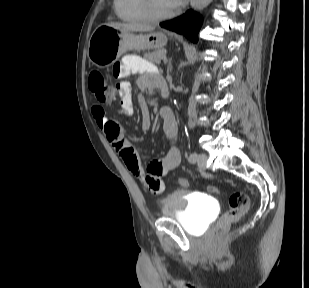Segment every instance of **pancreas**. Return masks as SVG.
Instances as JSON below:
<instances>
[{
	"label": "pancreas",
	"instance_id": "pancreas-1",
	"mask_svg": "<svg viewBox=\"0 0 309 288\" xmlns=\"http://www.w3.org/2000/svg\"><path fill=\"white\" fill-rule=\"evenodd\" d=\"M164 54H165V50L159 49L151 53H146L144 55V58L147 59L151 63L159 64Z\"/></svg>",
	"mask_w": 309,
	"mask_h": 288
}]
</instances>
